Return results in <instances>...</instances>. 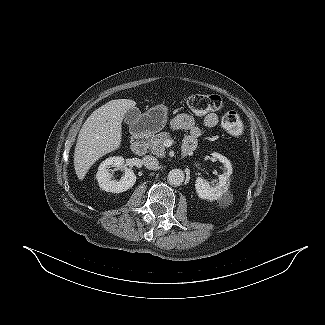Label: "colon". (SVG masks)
I'll use <instances>...</instances> for the list:
<instances>
[{
  "label": "colon",
  "mask_w": 325,
  "mask_h": 325,
  "mask_svg": "<svg viewBox=\"0 0 325 325\" xmlns=\"http://www.w3.org/2000/svg\"><path fill=\"white\" fill-rule=\"evenodd\" d=\"M188 109L194 114L216 112L222 109L223 102L216 94H194L188 97ZM222 125L232 137L239 138L243 135L244 128L240 116L234 110H227L222 116Z\"/></svg>",
  "instance_id": "5ec220e1"
}]
</instances>
